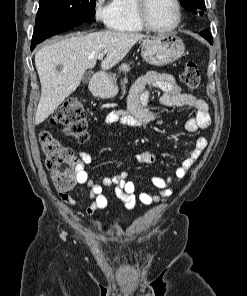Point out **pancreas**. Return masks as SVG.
Wrapping results in <instances>:
<instances>
[{"instance_id": "pancreas-1", "label": "pancreas", "mask_w": 247, "mask_h": 296, "mask_svg": "<svg viewBox=\"0 0 247 296\" xmlns=\"http://www.w3.org/2000/svg\"><path fill=\"white\" fill-rule=\"evenodd\" d=\"M128 83L127 77H125L123 80H121L122 85V93H125L126 84Z\"/></svg>"}]
</instances>
